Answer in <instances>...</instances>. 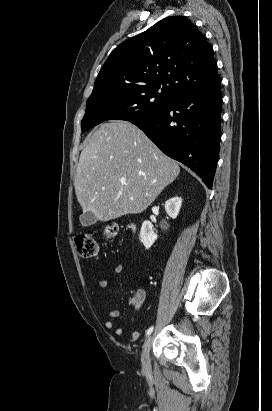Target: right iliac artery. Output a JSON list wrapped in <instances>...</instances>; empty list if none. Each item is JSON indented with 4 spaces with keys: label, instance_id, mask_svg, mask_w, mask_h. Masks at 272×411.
<instances>
[{
    "label": "right iliac artery",
    "instance_id": "obj_1",
    "mask_svg": "<svg viewBox=\"0 0 272 411\" xmlns=\"http://www.w3.org/2000/svg\"><path fill=\"white\" fill-rule=\"evenodd\" d=\"M153 326H151L147 331H146V336L150 335L153 331Z\"/></svg>",
    "mask_w": 272,
    "mask_h": 411
}]
</instances>
